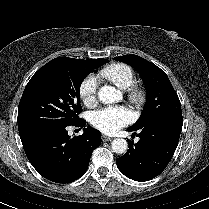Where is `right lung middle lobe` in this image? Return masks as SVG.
<instances>
[{
	"instance_id": "1",
	"label": "right lung middle lobe",
	"mask_w": 209,
	"mask_h": 209,
	"mask_svg": "<svg viewBox=\"0 0 209 209\" xmlns=\"http://www.w3.org/2000/svg\"><path fill=\"white\" fill-rule=\"evenodd\" d=\"M95 67L88 60L58 57L30 79L18 108L20 138L36 131L75 123L82 111L79 89Z\"/></svg>"
}]
</instances>
